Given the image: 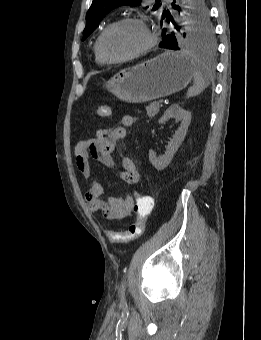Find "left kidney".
<instances>
[{
  "label": "left kidney",
  "instance_id": "left-kidney-1",
  "mask_svg": "<svg viewBox=\"0 0 261 340\" xmlns=\"http://www.w3.org/2000/svg\"><path fill=\"white\" fill-rule=\"evenodd\" d=\"M173 117L180 120L181 125L173 135L172 140L168 143L165 154L157 157L153 150H149V161L157 170H163L169 165L174 154L184 140L188 126L191 122V113L182 109L178 104L171 105L158 122L159 124H162Z\"/></svg>",
  "mask_w": 261,
  "mask_h": 340
}]
</instances>
